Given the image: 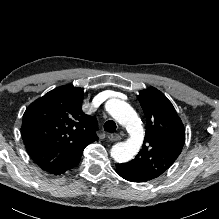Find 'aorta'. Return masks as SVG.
Returning a JSON list of instances; mask_svg holds the SVG:
<instances>
[{"label":"aorta","instance_id":"obj_1","mask_svg":"<svg viewBox=\"0 0 219 219\" xmlns=\"http://www.w3.org/2000/svg\"><path fill=\"white\" fill-rule=\"evenodd\" d=\"M105 108L130 132V138L126 142L117 143L111 149V156L116 162H128L137 154L144 139L141 121L135 110L128 103L119 99H110Z\"/></svg>","mask_w":219,"mask_h":219}]
</instances>
